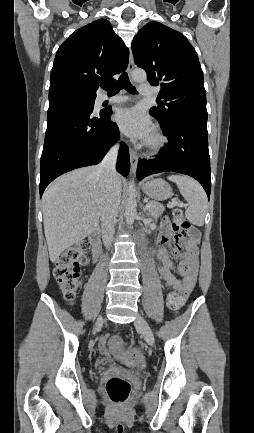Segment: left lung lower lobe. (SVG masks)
I'll use <instances>...</instances> for the list:
<instances>
[{
	"label": "left lung lower lobe",
	"mask_w": 254,
	"mask_h": 433,
	"mask_svg": "<svg viewBox=\"0 0 254 433\" xmlns=\"http://www.w3.org/2000/svg\"><path fill=\"white\" fill-rule=\"evenodd\" d=\"M161 128L168 137V144L155 159H139L137 179L169 171L186 174L203 186L209 199L211 170L207 120L185 116Z\"/></svg>",
	"instance_id": "0a47b994"
}]
</instances>
